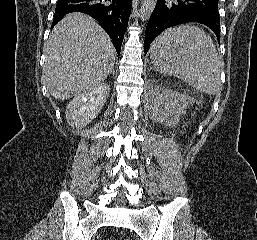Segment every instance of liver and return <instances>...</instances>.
<instances>
[{"label":"liver","mask_w":257,"mask_h":240,"mask_svg":"<svg viewBox=\"0 0 257 240\" xmlns=\"http://www.w3.org/2000/svg\"><path fill=\"white\" fill-rule=\"evenodd\" d=\"M45 56L44 82L55 99L66 100L100 85L114 68L116 51L92 18L71 13L54 27Z\"/></svg>","instance_id":"liver-1"}]
</instances>
